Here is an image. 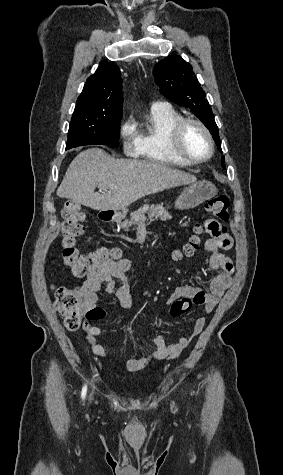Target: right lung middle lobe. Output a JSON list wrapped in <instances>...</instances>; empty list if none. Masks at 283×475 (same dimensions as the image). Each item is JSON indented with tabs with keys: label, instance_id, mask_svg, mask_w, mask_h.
Masks as SVG:
<instances>
[{
	"label": "right lung middle lobe",
	"instance_id": "1",
	"mask_svg": "<svg viewBox=\"0 0 283 475\" xmlns=\"http://www.w3.org/2000/svg\"><path fill=\"white\" fill-rule=\"evenodd\" d=\"M122 105L76 103L66 150L81 145L118 146Z\"/></svg>",
	"mask_w": 283,
	"mask_h": 475
}]
</instances>
